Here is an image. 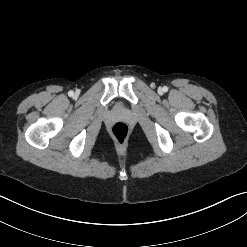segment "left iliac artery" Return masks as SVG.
<instances>
[{"label":"left iliac artery","instance_id":"obj_1","mask_svg":"<svg viewBox=\"0 0 247 247\" xmlns=\"http://www.w3.org/2000/svg\"><path fill=\"white\" fill-rule=\"evenodd\" d=\"M163 91H164V92H167V91H168V87H167V86H164V87H163Z\"/></svg>","mask_w":247,"mask_h":247}]
</instances>
